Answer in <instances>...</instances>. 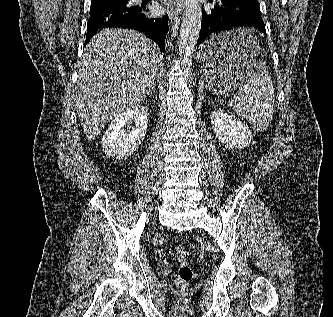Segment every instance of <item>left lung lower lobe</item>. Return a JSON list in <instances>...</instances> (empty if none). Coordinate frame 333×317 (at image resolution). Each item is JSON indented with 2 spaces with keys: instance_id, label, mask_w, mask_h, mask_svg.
Returning <instances> with one entry per match:
<instances>
[{
  "instance_id": "0a47b994",
  "label": "left lung lower lobe",
  "mask_w": 333,
  "mask_h": 317,
  "mask_svg": "<svg viewBox=\"0 0 333 317\" xmlns=\"http://www.w3.org/2000/svg\"><path fill=\"white\" fill-rule=\"evenodd\" d=\"M215 6L211 9L202 8V25L197 41L199 46L209 35L240 27H254L266 35L265 24L260 13L257 0H209ZM237 45H216L208 49L207 56L221 59L236 51Z\"/></svg>"
}]
</instances>
